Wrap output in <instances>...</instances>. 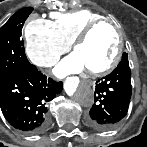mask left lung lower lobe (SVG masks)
Instances as JSON below:
<instances>
[{
	"label": "left lung lower lobe",
	"mask_w": 147,
	"mask_h": 147,
	"mask_svg": "<svg viewBox=\"0 0 147 147\" xmlns=\"http://www.w3.org/2000/svg\"><path fill=\"white\" fill-rule=\"evenodd\" d=\"M131 70L127 59L96 82L95 99L87 123L97 130L116 126L127 114L131 98Z\"/></svg>",
	"instance_id": "left-lung-lower-lobe-1"
}]
</instances>
